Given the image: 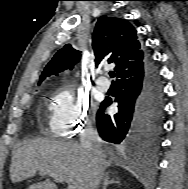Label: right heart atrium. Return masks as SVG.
Returning a JSON list of instances; mask_svg holds the SVG:
<instances>
[{
    "mask_svg": "<svg viewBox=\"0 0 188 189\" xmlns=\"http://www.w3.org/2000/svg\"><path fill=\"white\" fill-rule=\"evenodd\" d=\"M50 128L55 136L80 135L91 128L87 102L69 88L58 89L52 99Z\"/></svg>",
    "mask_w": 188,
    "mask_h": 189,
    "instance_id": "right-heart-atrium-1",
    "label": "right heart atrium"
}]
</instances>
